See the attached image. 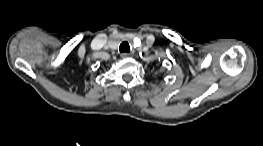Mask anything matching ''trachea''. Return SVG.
Listing matches in <instances>:
<instances>
[{"mask_svg":"<svg viewBox=\"0 0 263 146\" xmlns=\"http://www.w3.org/2000/svg\"><path fill=\"white\" fill-rule=\"evenodd\" d=\"M119 51L122 52H130V45L128 44V42H123L121 43L120 47H119Z\"/></svg>","mask_w":263,"mask_h":146,"instance_id":"1","label":"trachea"}]
</instances>
